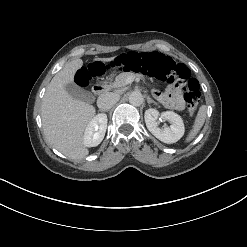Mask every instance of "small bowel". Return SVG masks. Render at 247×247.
I'll use <instances>...</instances> for the list:
<instances>
[{
  "label": "small bowel",
  "mask_w": 247,
  "mask_h": 247,
  "mask_svg": "<svg viewBox=\"0 0 247 247\" xmlns=\"http://www.w3.org/2000/svg\"><path fill=\"white\" fill-rule=\"evenodd\" d=\"M163 102L175 109L183 108V102L179 96L178 89L176 87L169 88L166 93L162 96Z\"/></svg>",
  "instance_id": "c3829d8e"
}]
</instances>
